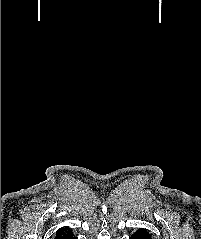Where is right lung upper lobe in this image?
<instances>
[{
  "label": "right lung upper lobe",
  "mask_w": 201,
  "mask_h": 239,
  "mask_svg": "<svg viewBox=\"0 0 201 239\" xmlns=\"http://www.w3.org/2000/svg\"><path fill=\"white\" fill-rule=\"evenodd\" d=\"M70 236H73V233L68 227L61 228L56 232V239H65Z\"/></svg>",
  "instance_id": "right-lung-upper-lobe-1"
}]
</instances>
